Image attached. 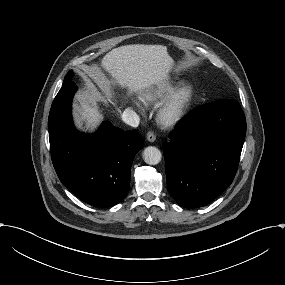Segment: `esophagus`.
Returning <instances> with one entry per match:
<instances>
[{"label":"esophagus","instance_id":"esophagus-1","mask_svg":"<svg viewBox=\"0 0 285 285\" xmlns=\"http://www.w3.org/2000/svg\"><path fill=\"white\" fill-rule=\"evenodd\" d=\"M146 137L149 142H154L156 140L155 133L152 131H149Z\"/></svg>","mask_w":285,"mask_h":285}]
</instances>
